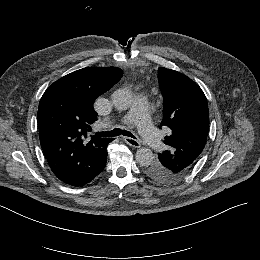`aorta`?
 I'll return each mask as SVG.
<instances>
[{
  "label": "aorta",
  "mask_w": 260,
  "mask_h": 260,
  "mask_svg": "<svg viewBox=\"0 0 260 260\" xmlns=\"http://www.w3.org/2000/svg\"><path fill=\"white\" fill-rule=\"evenodd\" d=\"M133 102V95L128 89H118L112 94V103L118 110H127ZM135 159L141 166H149L153 163L154 155L150 148L141 147L136 151Z\"/></svg>",
  "instance_id": "obj_1"
}]
</instances>
